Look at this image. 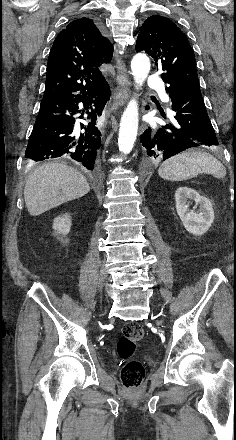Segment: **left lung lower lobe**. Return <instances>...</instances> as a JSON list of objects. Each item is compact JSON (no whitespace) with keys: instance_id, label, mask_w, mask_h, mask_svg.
I'll list each match as a JSON object with an SVG mask.
<instances>
[{"instance_id":"left-lung-lower-lobe-1","label":"left lung lower lobe","mask_w":236,"mask_h":440,"mask_svg":"<svg viewBox=\"0 0 236 440\" xmlns=\"http://www.w3.org/2000/svg\"><path fill=\"white\" fill-rule=\"evenodd\" d=\"M168 93L176 113L169 124L140 135L146 155L166 160L191 147L218 145L199 83H183Z\"/></svg>"}]
</instances>
